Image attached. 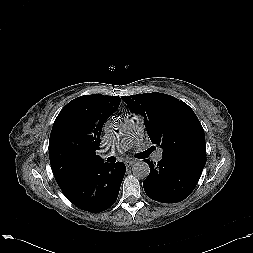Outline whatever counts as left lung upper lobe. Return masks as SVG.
Instances as JSON below:
<instances>
[{"label": "left lung upper lobe", "instance_id": "1", "mask_svg": "<svg viewBox=\"0 0 253 253\" xmlns=\"http://www.w3.org/2000/svg\"><path fill=\"white\" fill-rule=\"evenodd\" d=\"M130 110L144 117L151 142L163 149L162 155L195 153L206 156L204 130L183 101L158 92L123 96Z\"/></svg>", "mask_w": 253, "mask_h": 253}]
</instances>
